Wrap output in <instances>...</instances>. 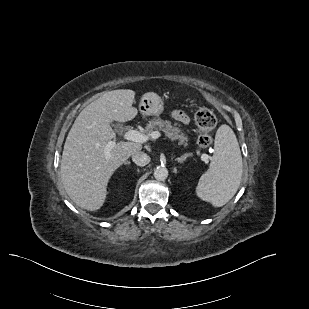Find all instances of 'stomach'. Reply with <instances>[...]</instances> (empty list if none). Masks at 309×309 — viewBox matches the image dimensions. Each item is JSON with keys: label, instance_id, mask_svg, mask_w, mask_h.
<instances>
[{"label": "stomach", "instance_id": "obj_1", "mask_svg": "<svg viewBox=\"0 0 309 309\" xmlns=\"http://www.w3.org/2000/svg\"><path fill=\"white\" fill-rule=\"evenodd\" d=\"M139 111L144 116H159L164 111V103L157 94L146 93L141 97Z\"/></svg>", "mask_w": 309, "mask_h": 309}]
</instances>
